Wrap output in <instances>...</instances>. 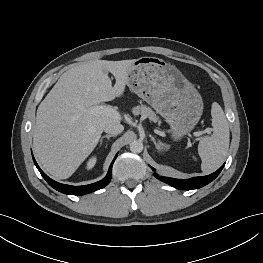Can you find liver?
<instances>
[{
  "label": "liver",
  "mask_w": 263,
  "mask_h": 263,
  "mask_svg": "<svg viewBox=\"0 0 263 263\" xmlns=\"http://www.w3.org/2000/svg\"><path fill=\"white\" fill-rule=\"evenodd\" d=\"M135 59L94 60L61 75L40 103L33 128V146L43 168L57 179L69 178L96 147L112 118L88 109L121 97ZM116 79L114 86L108 76Z\"/></svg>",
  "instance_id": "6515ba94"
}]
</instances>
